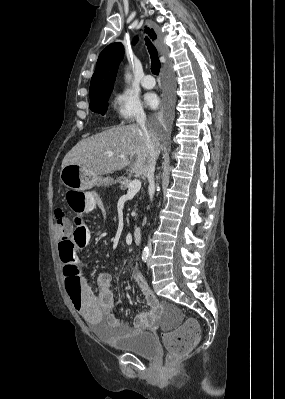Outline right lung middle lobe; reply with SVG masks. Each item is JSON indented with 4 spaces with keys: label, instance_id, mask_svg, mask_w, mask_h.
<instances>
[{
    "label": "right lung middle lobe",
    "instance_id": "1",
    "mask_svg": "<svg viewBox=\"0 0 285 399\" xmlns=\"http://www.w3.org/2000/svg\"><path fill=\"white\" fill-rule=\"evenodd\" d=\"M111 91L90 98V109L93 112L104 114L107 111V102Z\"/></svg>",
    "mask_w": 285,
    "mask_h": 399
}]
</instances>
